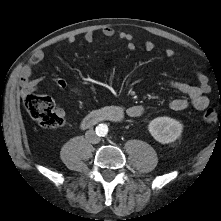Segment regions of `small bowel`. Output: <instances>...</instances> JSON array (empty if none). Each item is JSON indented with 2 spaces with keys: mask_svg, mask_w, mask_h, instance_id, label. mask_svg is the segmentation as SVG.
<instances>
[{
  "mask_svg": "<svg viewBox=\"0 0 221 221\" xmlns=\"http://www.w3.org/2000/svg\"><path fill=\"white\" fill-rule=\"evenodd\" d=\"M100 32L107 38L116 36L115 30L109 26L102 27ZM118 36L120 39L125 41L126 47L129 51H134L136 49V44L131 34L120 33ZM67 40L69 43H73L75 42V37L69 36ZM84 40L87 43H93L96 40V34L93 31H88L84 34ZM144 48L146 51H154L156 49V44L153 41H146ZM164 54L167 58H173L175 57L176 52L172 48H167ZM43 58V51L38 50L32 55L28 63L22 67L20 85L23 96L32 93L44 82V77L32 78L33 67L40 63ZM195 76L198 82L197 85L189 84L184 81H171L169 83L173 89L185 95V97L176 98L170 102V108L173 111H182L190 106L201 111L208 107L209 99L207 93L210 88L208 84V77L203 72H197ZM52 82L58 89H65L67 86L65 80L62 78H52ZM74 91L78 92L79 89L75 88ZM125 111L130 117L136 118L143 114L144 108L141 105H131L126 107ZM60 114L63 115V111H60Z\"/></svg>",
  "mask_w": 221,
  "mask_h": 221,
  "instance_id": "1",
  "label": "small bowel"
}]
</instances>
